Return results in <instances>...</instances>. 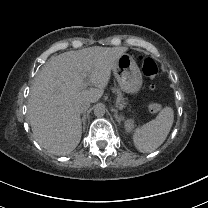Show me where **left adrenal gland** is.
Here are the masks:
<instances>
[{
	"label": "left adrenal gland",
	"mask_w": 208,
	"mask_h": 208,
	"mask_svg": "<svg viewBox=\"0 0 208 208\" xmlns=\"http://www.w3.org/2000/svg\"><path fill=\"white\" fill-rule=\"evenodd\" d=\"M111 111L114 112V118L116 119V121L118 123H121L123 121V119L118 117V111L115 109H112Z\"/></svg>",
	"instance_id": "left-adrenal-gland-1"
}]
</instances>
